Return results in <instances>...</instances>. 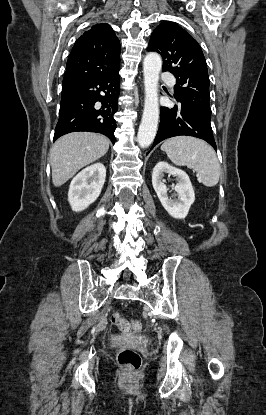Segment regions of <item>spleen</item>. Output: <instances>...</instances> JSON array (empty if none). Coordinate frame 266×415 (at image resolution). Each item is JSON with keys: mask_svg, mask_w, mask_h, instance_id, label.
I'll use <instances>...</instances> for the list:
<instances>
[{"mask_svg": "<svg viewBox=\"0 0 266 415\" xmlns=\"http://www.w3.org/2000/svg\"><path fill=\"white\" fill-rule=\"evenodd\" d=\"M161 150L177 166H187L197 172V179L207 187L219 182L220 164L215 151L206 142L188 136L166 140Z\"/></svg>", "mask_w": 266, "mask_h": 415, "instance_id": "3e777b00", "label": "spleen"}]
</instances>
